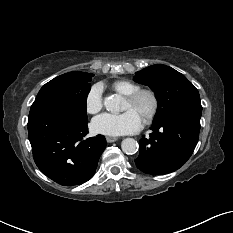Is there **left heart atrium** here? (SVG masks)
I'll return each mask as SVG.
<instances>
[{
    "label": "left heart atrium",
    "mask_w": 233,
    "mask_h": 233,
    "mask_svg": "<svg viewBox=\"0 0 233 233\" xmlns=\"http://www.w3.org/2000/svg\"><path fill=\"white\" fill-rule=\"evenodd\" d=\"M91 126L98 134L115 137L135 133L141 128L142 119L133 110L121 114L103 113L93 119Z\"/></svg>",
    "instance_id": "1"
}]
</instances>
